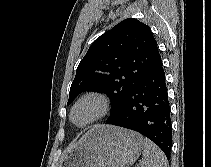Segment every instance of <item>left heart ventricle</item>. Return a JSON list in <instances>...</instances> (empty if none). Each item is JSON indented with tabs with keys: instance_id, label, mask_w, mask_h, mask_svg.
<instances>
[{
	"instance_id": "left-heart-ventricle-1",
	"label": "left heart ventricle",
	"mask_w": 211,
	"mask_h": 167,
	"mask_svg": "<svg viewBox=\"0 0 211 167\" xmlns=\"http://www.w3.org/2000/svg\"><path fill=\"white\" fill-rule=\"evenodd\" d=\"M98 111V108L93 102H85L79 105L73 114L74 121L78 124H83L90 120Z\"/></svg>"
}]
</instances>
